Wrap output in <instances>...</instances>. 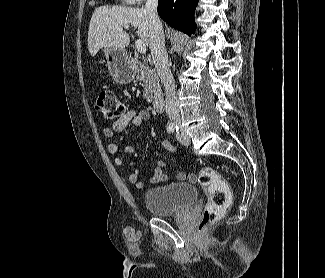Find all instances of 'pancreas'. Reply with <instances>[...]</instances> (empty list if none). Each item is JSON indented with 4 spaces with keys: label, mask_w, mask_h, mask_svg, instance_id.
I'll use <instances>...</instances> for the list:
<instances>
[{
    "label": "pancreas",
    "mask_w": 325,
    "mask_h": 278,
    "mask_svg": "<svg viewBox=\"0 0 325 278\" xmlns=\"http://www.w3.org/2000/svg\"><path fill=\"white\" fill-rule=\"evenodd\" d=\"M137 78L144 83L143 97L146 101H153L161 95L159 80L153 69L141 68Z\"/></svg>",
    "instance_id": "cf45deb5"
}]
</instances>
